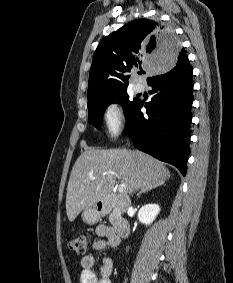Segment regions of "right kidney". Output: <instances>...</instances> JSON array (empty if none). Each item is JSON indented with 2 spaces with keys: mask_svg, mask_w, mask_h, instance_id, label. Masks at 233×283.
I'll return each instance as SVG.
<instances>
[{
  "mask_svg": "<svg viewBox=\"0 0 233 283\" xmlns=\"http://www.w3.org/2000/svg\"><path fill=\"white\" fill-rule=\"evenodd\" d=\"M159 211L160 207L157 204H146L139 210L138 219L141 223L150 225L156 218Z\"/></svg>",
  "mask_w": 233,
  "mask_h": 283,
  "instance_id": "right-kidney-1",
  "label": "right kidney"
}]
</instances>
